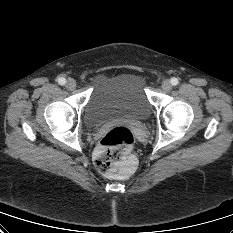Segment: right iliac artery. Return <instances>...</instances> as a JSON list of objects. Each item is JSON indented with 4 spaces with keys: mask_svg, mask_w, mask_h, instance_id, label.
Here are the masks:
<instances>
[{
    "mask_svg": "<svg viewBox=\"0 0 233 233\" xmlns=\"http://www.w3.org/2000/svg\"><path fill=\"white\" fill-rule=\"evenodd\" d=\"M58 83L60 85H64L66 83V79L64 77H60V78H58Z\"/></svg>",
    "mask_w": 233,
    "mask_h": 233,
    "instance_id": "right-iliac-artery-1",
    "label": "right iliac artery"
}]
</instances>
